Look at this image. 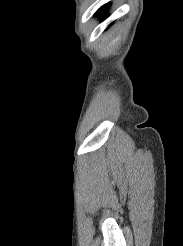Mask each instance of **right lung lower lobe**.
Listing matches in <instances>:
<instances>
[{"label":"right lung lower lobe","instance_id":"obj_1","mask_svg":"<svg viewBox=\"0 0 183 246\" xmlns=\"http://www.w3.org/2000/svg\"><path fill=\"white\" fill-rule=\"evenodd\" d=\"M109 6H110L109 3L103 5L100 9H98L95 15L97 17H100L101 18L100 20H103L107 16L106 11L108 10Z\"/></svg>","mask_w":183,"mask_h":246}]
</instances>
